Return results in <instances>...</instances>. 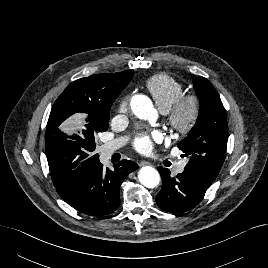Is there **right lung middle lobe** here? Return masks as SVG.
Listing matches in <instances>:
<instances>
[{
  "label": "right lung middle lobe",
  "mask_w": 268,
  "mask_h": 268,
  "mask_svg": "<svg viewBox=\"0 0 268 268\" xmlns=\"http://www.w3.org/2000/svg\"><path fill=\"white\" fill-rule=\"evenodd\" d=\"M66 118L64 104L54 103L47 124L45 151L53 181L71 187L99 160L94 151L96 137L108 129L109 116L90 121L80 135H66L57 128Z\"/></svg>",
  "instance_id": "dd1d6c3e"
}]
</instances>
